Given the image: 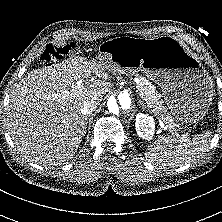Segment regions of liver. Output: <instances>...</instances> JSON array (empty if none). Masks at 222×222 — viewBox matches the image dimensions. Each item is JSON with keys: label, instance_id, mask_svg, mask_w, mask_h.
Listing matches in <instances>:
<instances>
[{"label": "liver", "instance_id": "6515ba94", "mask_svg": "<svg viewBox=\"0 0 222 222\" xmlns=\"http://www.w3.org/2000/svg\"><path fill=\"white\" fill-rule=\"evenodd\" d=\"M104 68L94 59L71 57L31 71L15 86L5 113L6 126L26 159L51 166L73 157L85 134L83 102L94 99L98 104L112 88ZM92 73L99 79L84 84Z\"/></svg>", "mask_w": 222, "mask_h": 222}]
</instances>
